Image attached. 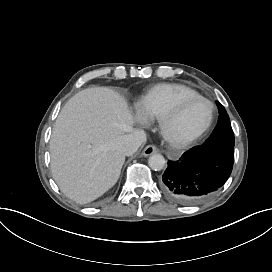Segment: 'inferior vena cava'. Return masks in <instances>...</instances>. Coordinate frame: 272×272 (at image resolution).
<instances>
[{"label":"inferior vena cava","mask_w":272,"mask_h":272,"mask_svg":"<svg viewBox=\"0 0 272 272\" xmlns=\"http://www.w3.org/2000/svg\"><path fill=\"white\" fill-rule=\"evenodd\" d=\"M146 141V133L143 130H136L118 138L116 149L126 156L133 154L140 145Z\"/></svg>","instance_id":"602c4592"}]
</instances>
